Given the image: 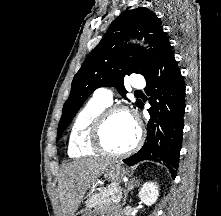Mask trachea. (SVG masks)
<instances>
[{
    "label": "trachea",
    "mask_w": 221,
    "mask_h": 216,
    "mask_svg": "<svg viewBox=\"0 0 221 216\" xmlns=\"http://www.w3.org/2000/svg\"><path fill=\"white\" fill-rule=\"evenodd\" d=\"M140 93H142V91L140 90L135 91V94H140Z\"/></svg>",
    "instance_id": "3493384b"
}]
</instances>
